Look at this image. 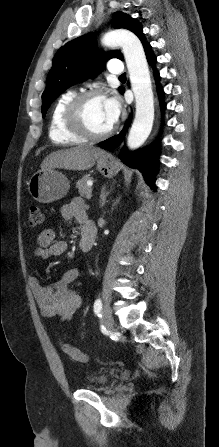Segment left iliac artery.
Returning a JSON list of instances; mask_svg holds the SVG:
<instances>
[{"label":"left iliac artery","mask_w":219,"mask_h":447,"mask_svg":"<svg viewBox=\"0 0 219 447\" xmlns=\"http://www.w3.org/2000/svg\"><path fill=\"white\" fill-rule=\"evenodd\" d=\"M101 310H102V302L100 299H97L94 303V312L99 316L101 315L100 314Z\"/></svg>","instance_id":"obj_1"}]
</instances>
